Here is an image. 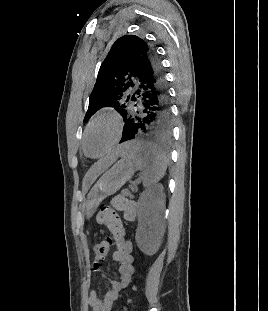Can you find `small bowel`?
<instances>
[{
    "mask_svg": "<svg viewBox=\"0 0 268 311\" xmlns=\"http://www.w3.org/2000/svg\"><path fill=\"white\" fill-rule=\"evenodd\" d=\"M97 222L105 225L110 233L111 244L115 247L112 257L118 263L117 272L120 275V279H110L105 272H101V277L109 282L111 289L105 294L103 299H99L95 289L90 286L87 302L92 311H111L120 292L131 281L135 270L134 258L131 255L132 247L126 238L123 224L115 211L103 209L97 215ZM100 233L104 234L105 231L100 230Z\"/></svg>",
    "mask_w": 268,
    "mask_h": 311,
    "instance_id": "c3829d8e",
    "label": "small bowel"
}]
</instances>
